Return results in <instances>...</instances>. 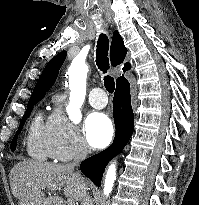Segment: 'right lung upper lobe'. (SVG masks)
<instances>
[{"label": "right lung upper lobe", "mask_w": 199, "mask_h": 205, "mask_svg": "<svg viewBox=\"0 0 199 205\" xmlns=\"http://www.w3.org/2000/svg\"><path fill=\"white\" fill-rule=\"evenodd\" d=\"M66 51H62L58 53L54 58H52L49 63L45 66L41 76L39 77L33 93L29 99L30 101L42 99L46 92L53 86L54 82L56 81V78L58 76V72L60 67L62 66L65 58H66ZM127 54V49L124 46V42L122 37L119 35L117 31L113 33L111 48H110V59H111V65L117 66L121 64ZM131 68L130 63H125L123 67V71L126 72ZM124 76L119 77L116 80V85L122 81Z\"/></svg>", "instance_id": "obj_1"}]
</instances>
